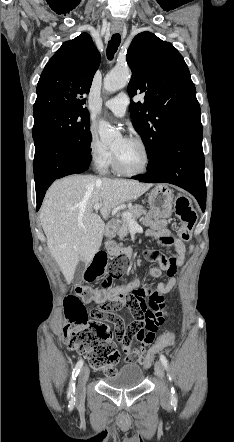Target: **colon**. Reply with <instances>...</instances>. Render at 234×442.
Masks as SVG:
<instances>
[{"instance_id": "obj_1", "label": "colon", "mask_w": 234, "mask_h": 442, "mask_svg": "<svg viewBox=\"0 0 234 442\" xmlns=\"http://www.w3.org/2000/svg\"><path fill=\"white\" fill-rule=\"evenodd\" d=\"M175 213L180 221L179 237L182 240H188L196 222V213L189 198L182 193H178L175 198ZM160 241L164 244H171L169 238ZM157 254L155 251H150L148 257L155 260ZM129 265L130 261L125 256L116 257L108 265L107 255L99 252L87 268L84 280L86 282L100 281V284L97 287L80 284L75 289L76 294L66 298L64 302L67 322L63 333L66 343L74 351L83 354L92 367L103 370L110 376L116 372L119 357L112 340L113 333L111 331L106 334L104 331L87 328V319H91L93 314H101L100 310L103 306H108L111 310L126 307L133 317L135 314H163L165 308L164 298L158 291L141 287L127 293L121 286H111L114 280L124 274ZM160 273L161 269L157 267L149 271L152 277H157ZM87 303H95L98 308L88 313L85 309ZM121 322H123L122 319ZM174 338L173 333H166L155 340L146 353L143 365L145 370L150 368L151 362L155 361V356H159L164 352L165 347L173 343Z\"/></svg>"}]
</instances>
